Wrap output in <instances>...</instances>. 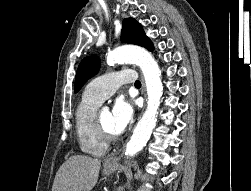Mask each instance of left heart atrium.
Wrapping results in <instances>:
<instances>
[{
    "instance_id": "left-heart-atrium-1",
    "label": "left heart atrium",
    "mask_w": 251,
    "mask_h": 191,
    "mask_svg": "<svg viewBox=\"0 0 251 191\" xmlns=\"http://www.w3.org/2000/svg\"><path fill=\"white\" fill-rule=\"evenodd\" d=\"M133 118L132 106L124 101L117 100L110 112V128L113 134H121Z\"/></svg>"
}]
</instances>
